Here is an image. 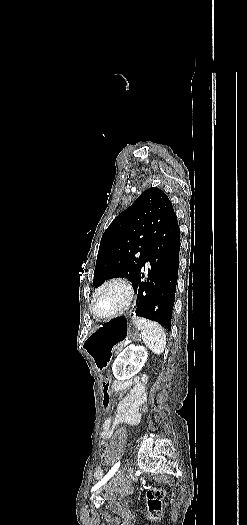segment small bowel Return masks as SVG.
I'll list each match as a JSON object with an SVG mask.
<instances>
[{
  "mask_svg": "<svg viewBox=\"0 0 247 525\" xmlns=\"http://www.w3.org/2000/svg\"><path fill=\"white\" fill-rule=\"evenodd\" d=\"M147 382L148 377L146 375L134 379L131 390L119 401L115 417H108L104 420L101 432L102 441H109L119 426L134 421L140 405L145 400ZM122 388L123 386L117 382L115 387H111L112 392L110 396L118 394ZM119 455L118 450L112 449L108 453V460L114 462L119 458ZM102 476V469L100 467L96 468L94 478L100 480Z\"/></svg>",
  "mask_w": 247,
  "mask_h": 525,
  "instance_id": "small-bowel-1",
  "label": "small bowel"
}]
</instances>
